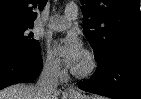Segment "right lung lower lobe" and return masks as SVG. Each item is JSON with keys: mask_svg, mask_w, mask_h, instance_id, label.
Wrapping results in <instances>:
<instances>
[{"mask_svg": "<svg viewBox=\"0 0 141 99\" xmlns=\"http://www.w3.org/2000/svg\"><path fill=\"white\" fill-rule=\"evenodd\" d=\"M41 69L40 50L0 53V90L12 84L34 80Z\"/></svg>", "mask_w": 141, "mask_h": 99, "instance_id": "obj_1", "label": "right lung lower lobe"}]
</instances>
